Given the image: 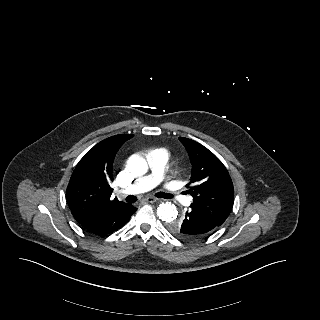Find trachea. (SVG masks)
<instances>
[{"label": "trachea", "instance_id": "obj_1", "mask_svg": "<svg viewBox=\"0 0 320 320\" xmlns=\"http://www.w3.org/2000/svg\"><path fill=\"white\" fill-rule=\"evenodd\" d=\"M157 197H160V198H164V199H170L172 198V195L171 194H168V193H164V192H159L156 194ZM126 201L127 202H136L137 201V198L135 196H127L126 197Z\"/></svg>", "mask_w": 320, "mask_h": 320}]
</instances>
